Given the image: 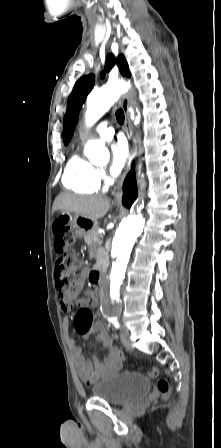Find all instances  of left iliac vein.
Instances as JSON below:
<instances>
[{"instance_id": "left-iliac-vein-1", "label": "left iliac vein", "mask_w": 221, "mask_h": 448, "mask_svg": "<svg viewBox=\"0 0 221 448\" xmlns=\"http://www.w3.org/2000/svg\"><path fill=\"white\" fill-rule=\"evenodd\" d=\"M121 342L123 346L128 349L132 350L131 340H130V333L127 329L123 328L121 332Z\"/></svg>"}]
</instances>
